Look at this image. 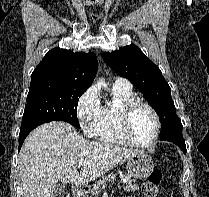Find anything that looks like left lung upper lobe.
<instances>
[{
  "label": "left lung upper lobe",
  "mask_w": 209,
  "mask_h": 197,
  "mask_svg": "<svg viewBox=\"0 0 209 197\" xmlns=\"http://www.w3.org/2000/svg\"><path fill=\"white\" fill-rule=\"evenodd\" d=\"M103 60L118 75L129 79L146 97L160 117V138L182 134V123L176 114L171 88L160 69L135 45H127L111 53H104Z\"/></svg>",
  "instance_id": "left-lung-upper-lobe-1"
}]
</instances>
